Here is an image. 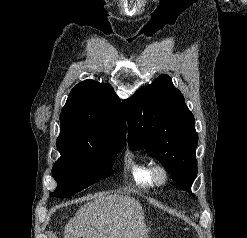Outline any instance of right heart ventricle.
<instances>
[{
    "instance_id": "1",
    "label": "right heart ventricle",
    "mask_w": 247,
    "mask_h": 238,
    "mask_svg": "<svg viewBox=\"0 0 247 238\" xmlns=\"http://www.w3.org/2000/svg\"><path fill=\"white\" fill-rule=\"evenodd\" d=\"M151 164L144 158L137 155H129L127 167L133 181L141 186L150 187L153 185L150 178Z\"/></svg>"
}]
</instances>
